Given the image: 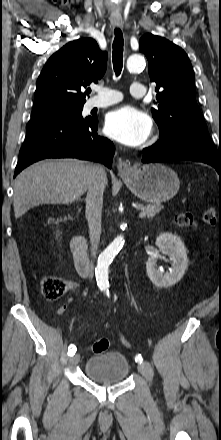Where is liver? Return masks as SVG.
<instances>
[{
  "instance_id": "6515ba94",
  "label": "liver",
  "mask_w": 221,
  "mask_h": 440,
  "mask_svg": "<svg viewBox=\"0 0 221 440\" xmlns=\"http://www.w3.org/2000/svg\"><path fill=\"white\" fill-rule=\"evenodd\" d=\"M92 167L77 159L44 160L29 166L14 182L15 217L39 205L75 202L88 188Z\"/></svg>"
}]
</instances>
